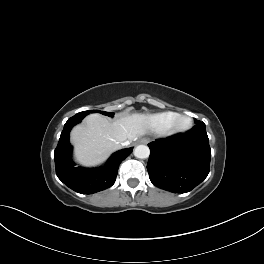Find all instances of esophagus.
Returning a JSON list of instances; mask_svg holds the SVG:
<instances>
[{
  "label": "esophagus",
  "instance_id": "1",
  "mask_svg": "<svg viewBox=\"0 0 264 264\" xmlns=\"http://www.w3.org/2000/svg\"><path fill=\"white\" fill-rule=\"evenodd\" d=\"M139 142H140V143H143V144H147V143H148V139H146V138H142V139H140Z\"/></svg>",
  "mask_w": 264,
  "mask_h": 264
}]
</instances>
